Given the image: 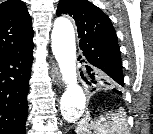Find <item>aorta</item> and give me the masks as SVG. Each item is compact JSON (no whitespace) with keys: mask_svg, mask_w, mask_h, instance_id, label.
I'll list each match as a JSON object with an SVG mask.
<instances>
[{"mask_svg":"<svg viewBox=\"0 0 153 134\" xmlns=\"http://www.w3.org/2000/svg\"><path fill=\"white\" fill-rule=\"evenodd\" d=\"M52 52L58 62L66 89L60 99L61 114L65 121L75 122L84 112L86 96L77 82L75 33L66 18L57 19L51 34Z\"/></svg>","mask_w":153,"mask_h":134,"instance_id":"762f6f07","label":"aorta"}]
</instances>
